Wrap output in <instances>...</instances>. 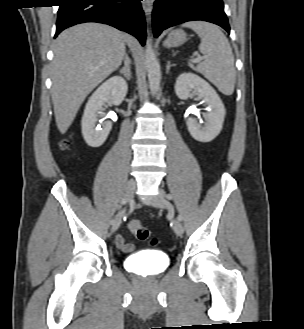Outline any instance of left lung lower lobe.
<instances>
[{
  "label": "left lung lower lobe",
  "instance_id": "0a47b994",
  "mask_svg": "<svg viewBox=\"0 0 304 329\" xmlns=\"http://www.w3.org/2000/svg\"><path fill=\"white\" fill-rule=\"evenodd\" d=\"M194 20L217 24L230 33L222 0H156L154 4L155 37L168 27Z\"/></svg>",
  "mask_w": 304,
  "mask_h": 329
}]
</instances>
